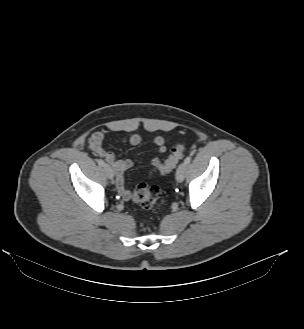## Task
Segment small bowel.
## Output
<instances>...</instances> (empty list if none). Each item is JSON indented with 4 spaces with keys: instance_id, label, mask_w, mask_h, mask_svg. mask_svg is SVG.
<instances>
[{
    "instance_id": "small-bowel-1",
    "label": "small bowel",
    "mask_w": 304,
    "mask_h": 329,
    "mask_svg": "<svg viewBox=\"0 0 304 329\" xmlns=\"http://www.w3.org/2000/svg\"><path fill=\"white\" fill-rule=\"evenodd\" d=\"M123 143L137 145L141 142V137L138 134H130L128 136H123L120 138ZM105 135L101 131L94 132L88 142L87 147L104 159L106 163L114 170L115 172V186L119 194L124 198L128 199L130 197V192L125 186V180L123 173L125 170L132 167L133 162L130 159H117L115 154L109 151H106L104 148ZM152 144L157 148L159 154L163 155L167 152V146L165 140L162 136H155L151 140ZM159 159L154 157L152 159V164L157 166L159 164Z\"/></svg>"
}]
</instances>
